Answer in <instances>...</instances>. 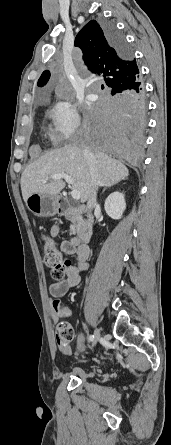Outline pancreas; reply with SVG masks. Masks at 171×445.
Listing matches in <instances>:
<instances>
[{
	"label": "pancreas",
	"mask_w": 171,
	"mask_h": 445,
	"mask_svg": "<svg viewBox=\"0 0 171 445\" xmlns=\"http://www.w3.org/2000/svg\"><path fill=\"white\" fill-rule=\"evenodd\" d=\"M71 222H72V224L70 225V234L71 235H75V234L81 235L82 228H83V222L74 216L71 217Z\"/></svg>",
	"instance_id": "obj_1"
}]
</instances>
